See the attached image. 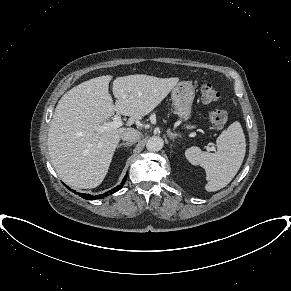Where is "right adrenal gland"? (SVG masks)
Returning a JSON list of instances; mask_svg holds the SVG:
<instances>
[{"instance_id": "1", "label": "right adrenal gland", "mask_w": 291, "mask_h": 291, "mask_svg": "<svg viewBox=\"0 0 291 291\" xmlns=\"http://www.w3.org/2000/svg\"><path fill=\"white\" fill-rule=\"evenodd\" d=\"M132 145H133V143L123 142V143L119 144L118 147L125 146V147L128 148V147H130V146H132Z\"/></svg>"}]
</instances>
